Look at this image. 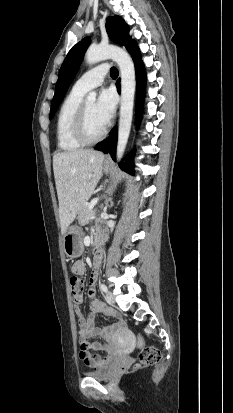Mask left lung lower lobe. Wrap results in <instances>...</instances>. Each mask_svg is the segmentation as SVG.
Masks as SVG:
<instances>
[{
  "instance_id": "0a47b994",
  "label": "left lung lower lobe",
  "mask_w": 233,
  "mask_h": 413,
  "mask_svg": "<svg viewBox=\"0 0 233 413\" xmlns=\"http://www.w3.org/2000/svg\"><path fill=\"white\" fill-rule=\"evenodd\" d=\"M128 52L132 55L136 68H137V88H138V104H137V110L139 114V119L141 116V111H142V102H143V95H144V87H145V82H146V75H145V70L143 63L141 61V55L139 48L136 45L131 47ZM118 89L120 91V84L118 83ZM116 143H117V131L115 130L109 139L105 140L101 144L95 147L96 150L102 151L104 153L110 152L113 160H115V154H116ZM120 167L125 170L128 173L133 174V159L132 157H129L126 161V163L120 164Z\"/></svg>"
}]
</instances>
